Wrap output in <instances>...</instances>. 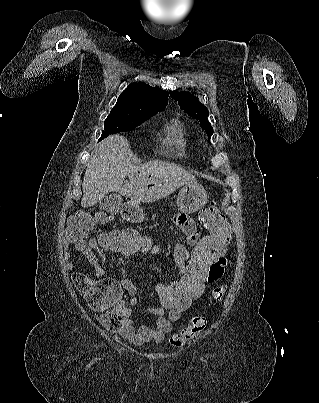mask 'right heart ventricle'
<instances>
[{
  "mask_svg": "<svg viewBox=\"0 0 319 403\" xmlns=\"http://www.w3.org/2000/svg\"><path fill=\"white\" fill-rule=\"evenodd\" d=\"M162 145L167 152L179 156L187 152L189 146L187 132L180 121L172 120L166 125Z\"/></svg>",
  "mask_w": 319,
  "mask_h": 403,
  "instance_id": "right-heart-ventricle-1",
  "label": "right heart ventricle"
}]
</instances>
